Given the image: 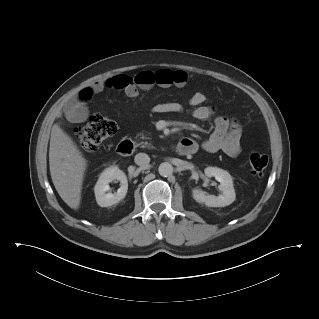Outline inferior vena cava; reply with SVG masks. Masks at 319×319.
Instances as JSON below:
<instances>
[{"instance_id":"1","label":"inferior vena cava","mask_w":319,"mask_h":319,"mask_svg":"<svg viewBox=\"0 0 319 319\" xmlns=\"http://www.w3.org/2000/svg\"><path fill=\"white\" fill-rule=\"evenodd\" d=\"M135 163L138 165V166H147L150 162V157L145 154V153H138L136 156H135V159H134Z\"/></svg>"}]
</instances>
